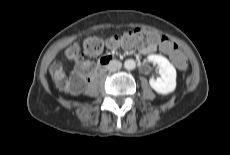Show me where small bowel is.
<instances>
[{"mask_svg": "<svg viewBox=\"0 0 230 155\" xmlns=\"http://www.w3.org/2000/svg\"><path fill=\"white\" fill-rule=\"evenodd\" d=\"M117 48H119V47H116V48H110L109 47L108 49L114 50V49H117ZM154 50H155V46H147V47H142L141 48V52L144 53V54H150V53L154 52Z\"/></svg>", "mask_w": 230, "mask_h": 155, "instance_id": "small-bowel-1", "label": "small bowel"}]
</instances>
